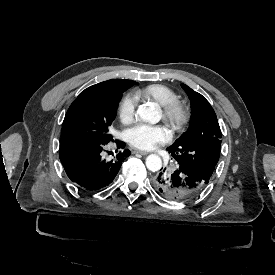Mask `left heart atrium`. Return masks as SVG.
I'll return each instance as SVG.
<instances>
[{
	"label": "left heart atrium",
	"instance_id": "left-heart-atrium-1",
	"mask_svg": "<svg viewBox=\"0 0 275 275\" xmlns=\"http://www.w3.org/2000/svg\"><path fill=\"white\" fill-rule=\"evenodd\" d=\"M128 143L135 149L152 150L172 139V131L167 125L138 123L125 132Z\"/></svg>",
	"mask_w": 275,
	"mask_h": 275
}]
</instances>
